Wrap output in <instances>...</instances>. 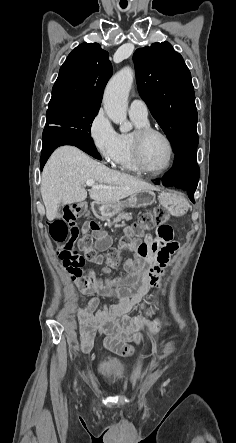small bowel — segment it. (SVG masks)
<instances>
[{
	"mask_svg": "<svg viewBox=\"0 0 236 443\" xmlns=\"http://www.w3.org/2000/svg\"><path fill=\"white\" fill-rule=\"evenodd\" d=\"M107 240L100 239L95 244V249L103 250ZM170 242L165 241L157 233L155 237L146 235L142 242H137L136 252L139 247L146 246L149 255L142 260V266L134 273L133 277L127 271L135 259L125 263L126 274L113 280L97 281L94 273L89 269H75L62 261L70 282L86 295L100 294L103 296H119V302L114 305H104L95 314L89 316L88 312L98 306V299L92 297L85 310H77L79 322L80 349L83 353L91 351L95 340V330L100 329L105 335L106 345L120 355H128L131 349L127 344H142L148 339L158 335L159 322L153 318L155 306L144 302V297L151 286H159L162 275L169 264V259L174 251L167 249ZM126 285L114 290L112 285ZM136 305H141L146 312L145 316L130 318L126 314ZM89 317V321H82Z\"/></svg>",
	"mask_w": 236,
	"mask_h": 443,
	"instance_id": "1",
	"label": "small bowel"
}]
</instances>
